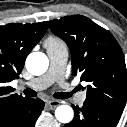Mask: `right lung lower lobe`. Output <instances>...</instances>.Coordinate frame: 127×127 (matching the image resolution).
<instances>
[{
	"label": "right lung lower lobe",
	"instance_id": "98d812e1",
	"mask_svg": "<svg viewBox=\"0 0 127 127\" xmlns=\"http://www.w3.org/2000/svg\"><path fill=\"white\" fill-rule=\"evenodd\" d=\"M43 108L42 100L29 98L20 110L0 127H34Z\"/></svg>",
	"mask_w": 127,
	"mask_h": 127
}]
</instances>
